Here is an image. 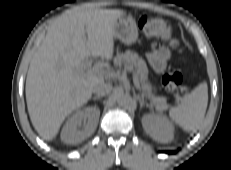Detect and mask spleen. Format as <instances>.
I'll return each instance as SVG.
<instances>
[{"label":"spleen","mask_w":231,"mask_h":170,"mask_svg":"<svg viewBox=\"0 0 231 170\" xmlns=\"http://www.w3.org/2000/svg\"><path fill=\"white\" fill-rule=\"evenodd\" d=\"M208 103L206 83L197 86L181 102L170 109V118L185 131L197 130L203 122Z\"/></svg>","instance_id":"spleen-1"}]
</instances>
